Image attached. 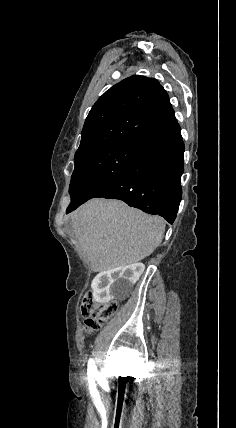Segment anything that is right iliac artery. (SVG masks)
Returning <instances> with one entry per match:
<instances>
[{
  "label": "right iliac artery",
  "instance_id": "82829eb1",
  "mask_svg": "<svg viewBox=\"0 0 236 428\" xmlns=\"http://www.w3.org/2000/svg\"><path fill=\"white\" fill-rule=\"evenodd\" d=\"M87 371H88L87 372L88 374H97L98 373L97 366H96L93 359H89Z\"/></svg>",
  "mask_w": 236,
  "mask_h": 428
}]
</instances>
